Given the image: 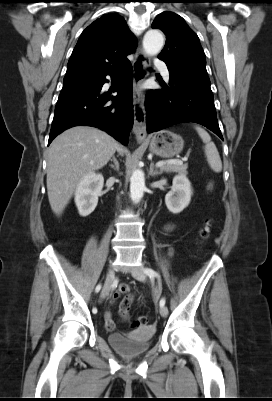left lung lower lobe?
Segmentation results:
<instances>
[{"instance_id":"left-lung-lower-lobe-1","label":"left lung lower lobe","mask_w":272,"mask_h":401,"mask_svg":"<svg viewBox=\"0 0 272 401\" xmlns=\"http://www.w3.org/2000/svg\"><path fill=\"white\" fill-rule=\"evenodd\" d=\"M170 73V84L164 90H150L146 94V123L149 133L181 122L199 123L222 140L210 82L183 74Z\"/></svg>"}]
</instances>
